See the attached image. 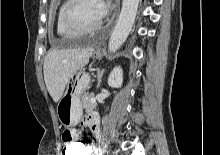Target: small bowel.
Wrapping results in <instances>:
<instances>
[{
    "label": "small bowel",
    "instance_id": "c3829d8e",
    "mask_svg": "<svg viewBox=\"0 0 220 155\" xmlns=\"http://www.w3.org/2000/svg\"><path fill=\"white\" fill-rule=\"evenodd\" d=\"M81 124L83 126L89 127L92 133L98 137L100 133V123L99 117L96 113L87 114ZM79 138V132L77 131L76 126H64V130H62V136L60 137L61 141H76ZM84 155H94V148L91 145H87L85 147Z\"/></svg>",
    "mask_w": 220,
    "mask_h": 155
}]
</instances>
